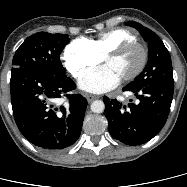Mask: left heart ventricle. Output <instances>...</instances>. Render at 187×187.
<instances>
[{
	"mask_svg": "<svg viewBox=\"0 0 187 187\" xmlns=\"http://www.w3.org/2000/svg\"><path fill=\"white\" fill-rule=\"evenodd\" d=\"M141 60V51L133 48L118 57L106 59V65L110 66L121 78L133 72Z\"/></svg>",
	"mask_w": 187,
	"mask_h": 187,
	"instance_id": "b2bd125f",
	"label": "left heart ventricle"
}]
</instances>
